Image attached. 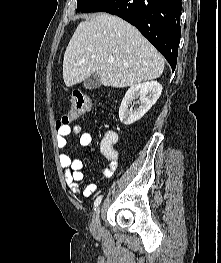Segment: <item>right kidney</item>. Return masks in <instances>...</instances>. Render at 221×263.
<instances>
[{
	"mask_svg": "<svg viewBox=\"0 0 221 263\" xmlns=\"http://www.w3.org/2000/svg\"><path fill=\"white\" fill-rule=\"evenodd\" d=\"M162 92V85L157 81H149L131 86L126 92L120 108L119 118L124 125H131L141 119L156 103ZM138 99L139 107L129 109L132 101Z\"/></svg>",
	"mask_w": 221,
	"mask_h": 263,
	"instance_id": "obj_1",
	"label": "right kidney"
}]
</instances>
